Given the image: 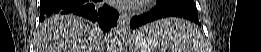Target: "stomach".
Instances as JSON below:
<instances>
[{
    "label": "stomach",
    "instance_id": "1",
    "mask_svg": "<svg viewBox=\"0 0 261 52\" xmlns=\"http://www.w3.org/2000/svg\"><path fill=\"white\" fill-rule=\"evenodd\" d=\"M159 45L158 36L147 27L136 30L130 36V46L134 52H154Z\"/></svg>",
    "mask_w": 261,
    "mask_h": 52
}]
</instances>
